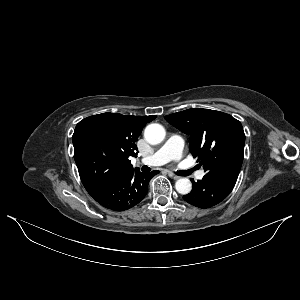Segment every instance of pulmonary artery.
Segmentation results:
<instances>
[{
  "label": "pulmonary artery",
  "instance_id": "obj_1",
  "mask_svg": "<svg viewBox=\"0 0 300 300\" xmlns=\"http://www.w3.org/2000/svg\"><path fill=\"white\" fill-rule=\"evenodd\" d=\"M184 148L183 140L178 136H171L164 145L151 156L141 159L144 165H162L171 160H179L182 157ZM204 176V171H199L196 178L201 180Z\"/></svg>",
  "mask_w": 300,
  "mask_h": 300
}]
</instances>
